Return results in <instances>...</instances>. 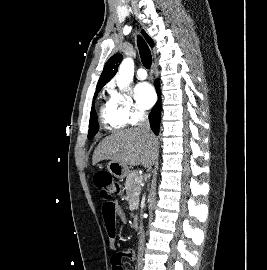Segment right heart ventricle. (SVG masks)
Returning a JSON list of instances; mask_svg holds the SVG:
<instances>
[{
  "instance_id": "1",
  "label": "right heart ventricle",
  "mask_w": 267,
  "mask_h": 270,
  "mask_svg": "<svg viewBox=\"0 0 267 270\" xmlns=\"http://www.w3.org/2000/svg\"><path fill=\"white\" fill-rule=\"evenodd\" d=\"M100 121L102 123L103 128L107 131H114L121 129L126 124L116 115L110 102L102 104L100 108Z\"/></svg>"
}]
</instances>
